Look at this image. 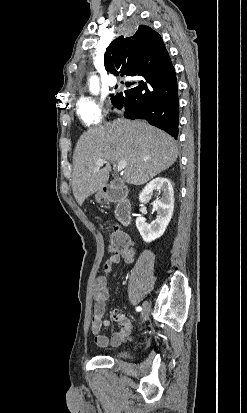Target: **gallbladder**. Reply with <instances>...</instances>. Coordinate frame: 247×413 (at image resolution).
Here are the masks:
<instances>
[{"label":"gallbladder","mask_w":247,"mask_h":413,"mask_svg":"<svg viewBox=\"0 0 247 413\" xmlns=\"http://www.w3.org/2000/svg\"><path fill=\"white\" fill-rule=\"evenodd\" d=\"M111 184H113V186H117L118 180H111Z\"/></svg>","instance_id":"gallbladder-1"}]
</instances>
